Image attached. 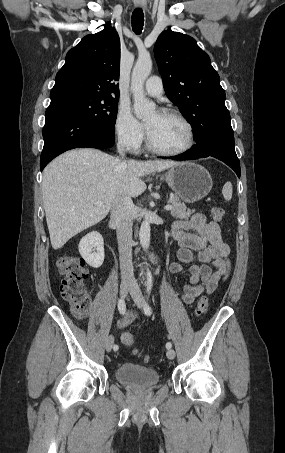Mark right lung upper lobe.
Listing matches in <instances>:
<instances>
[{
    "label": "right lung upper lobe",
    "instance_id": "obj_1",
    "mask_svg": "<svg viewBox=\"0 0 285 453\" xmlns=\"http://www.w3.org/2000/svg\"><path fill=\"white\" fill-rule=\"evenodd\" d=\"M120 40L107 24L104 30L87 35L70 49L50 92L51 101L73 93L119 95Z\"/></svg>",
    "mask_w": 285,
    "mask_h": 453
}]
</instances>
